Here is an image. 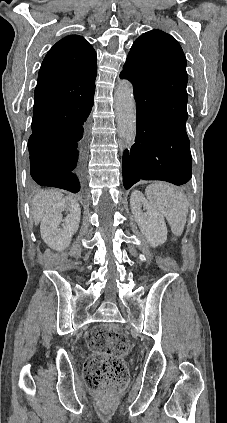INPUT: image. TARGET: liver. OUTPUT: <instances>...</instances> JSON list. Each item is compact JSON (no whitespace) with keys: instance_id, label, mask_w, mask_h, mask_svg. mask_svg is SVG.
Returning <instances> with one entry per match:
<instances>
[{"instance_id":"1","label":"liver","mask_w":227,"mask_h":423,"mask_svg":"<svg viewBox=\"0 0 227 423\" xmlns=\"http://www.w3.org/2000/svg\"><path fill=\"white\" fill-rule=\"evenodd\" d=\"M62 198L63 194L59 190H45V192L36 194L32 200L33 221L35 225L40 223L42 217L45 215V211L50 210L54 204H58Z\"/></svg>"}]
</instances>
